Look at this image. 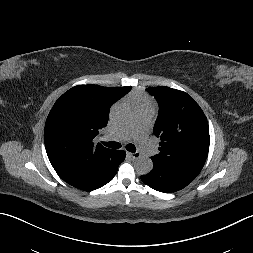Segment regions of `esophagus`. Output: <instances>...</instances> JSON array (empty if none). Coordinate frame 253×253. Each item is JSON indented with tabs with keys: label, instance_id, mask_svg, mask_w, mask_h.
<instances>
[{
	"label": "esophagus",
	"instance_id": "obj_1",
	"mask_svg": "<svg viewBox=\"0 0 253 253\" xmlns=\"http://www.w3.org/2000/svg\"><path fill=\"white\" fill-rule=\"evenodd\" d=\"M127 155L130 156L133 159H137V158L140 157V154L138 152H134V153L128 152Z\"/></svg>",
	"mask_w": 253,
	"mask_h": 253
}]
</instances>
